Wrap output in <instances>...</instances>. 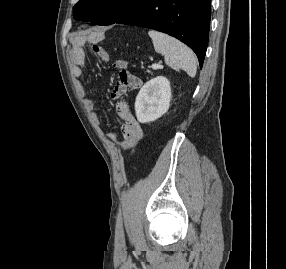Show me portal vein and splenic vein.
Masks as SVG:
<instances>
[{
    "mask_svg": "<svg viewBox=\"0 0 286 269\" xmlns=\"http://www.w3.org/2000/svg\"><path fill=\"white\" fill-rule=\"evenodd\" d=\"M151 67H152V69H158V68H160V65L157 63H154V64H152Z\"/></svg>",
    "mask_w": 286,
    "mask_h": 269,
    "instance_id": "obj_1",
    "label": "portal vein and splenic vein"
}]
</instances>
